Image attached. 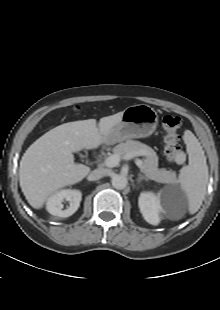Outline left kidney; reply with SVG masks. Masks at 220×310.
<instances>
[{"instance_id":"left-kidney-1","label":"left kidney","mask_w":220,"mask_h":310,"mask_svg":"<svg viewBox=\"0 0 220 310\" xmlns=\"http://www.w3.org/2000/svg\"><path fill=\"white\" fill-rule=\"evenodd\" d=\"M139 208L144 219L152 224L157 225L160 221L159 214L166 212L167 205L162 201L160 195L151 192H143L139 197Z\"/></svg>"}]
</instances>
